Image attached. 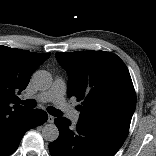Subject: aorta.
<instances>
[{"label":"aorta","mask_w":156,"mask_h":156,"mask_svg":"<svg viewBox=\"0 0 156 156\" xmlns=\"http://www.w3.org/2000/svg\"><path fill=\"white\" fill-rule=\"evenodd\" d=\"M32 81L39 89H48L52 84L51 74L45 70H38L32 76ZM44 140L54 142L59 136V130L53 123L46 124L42 129Z\"/></svg>","instance_id":"obj_1"}]
</instances>
